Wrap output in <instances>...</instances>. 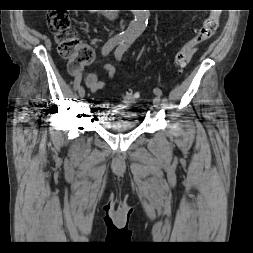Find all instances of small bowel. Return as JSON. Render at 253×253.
<instances>
[{
  "label": "small bowel",
  "mask_w": 253,
  "mask_h": 253,
  "mask_svg": "<svg viewBox=\"0 0 253 253\" xmlns=\"http://www.w3.org/2000/svg\"><path fill=\"white\" fill-rule=\"evenodd\" d=\"M100 73L107 74V81H102L100 79ZM117 72L114 66L110 64H104L100 71H94L89 73L85 78V85L90 90L91 93H96L108 86V83L112 81ZM81 78V74H78L77 79Z\"/></svg>",
  "instance_id": "obj_1"
}]
</instances>
